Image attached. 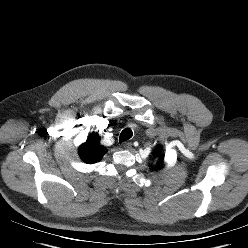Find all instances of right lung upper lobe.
Segmentation results:
<instances>
[{
  "label": "right lung upper lobe",
  "instance_id": "1",
  "mask_svg": "<svg viewBox=\"0 0 248 248\" xmlns=\"http://www.w3.org/2000/svg\"><path fill=\"white\" fill-rule=\"evenodd\" d=\"M107 150L100 144L98 133H91L87 141L79 147V155L87 164L99 162Z\"/></svg>",
  "mask_w": 248,
  "mask_h": 248
}]
</instances>
